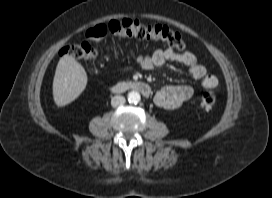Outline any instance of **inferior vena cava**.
I'll use <instances>...</instances> for the list:
<instances>
[{"instance_id":"1","label":"inferior vena cava","mask_w":272,"mask_h":198,"mask_svg":"<svg viewBox=\"0 0 272 198\" xmlns=\"http://www.w3.org/2000/svg\"><path fill=\"white\" fill-rule=\"evenodd\" d=\"M125 102H126L125 97H123L121 95H116V96L112 97V99H111L112 107H119L121 105H124Z\"/></svg>"}]
</instances>
